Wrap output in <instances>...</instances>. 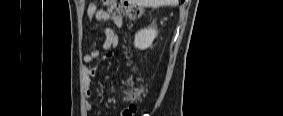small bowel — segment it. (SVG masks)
Here are the masks:
<instances>
[{
    "label": "small bowel",
    "instance_id": "small-bowel-1",
    "mask_svg": "<svg viewBox=\"0 0 283 116\" xmlns=\"http://www.w3.org/2000/svg\"><path fill=\"white\" fill-rule=\"evenodd\" d=\"M86 14L89 18H95L98 21L110 20L113 22L115 28H121L123 25V20L120 16L110 14L107 10L102 8L97 3L90 4L86 10ZM103 34L105 39L102 46L100 48L97 47L93 49L83 57V65L81 69L83 74L85 93L87 97H90L93 93L91 79L97 72V67H90L89 64L99 58L101 51L109 53L112 49L117 48L119 45V37L117 31L114 28H103ZM111 91L115 92L114 85H111ZM85 107L89 111H91L93 108L90 103H86Z\"/></svg>",
    "mask_w": 283,
    "mask_h": 116
}]
</instances>
